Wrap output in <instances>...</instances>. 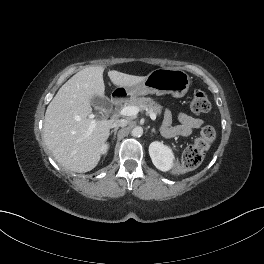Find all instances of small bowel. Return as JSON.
<instances>
[{"label":"small bowel","instance_id":"small-bowel-1","mask_svg":"<svg viewBox=\"0 0 264 264\" xmlns=\"http://www.w3.org/2000/svg\"><path fill=\"white\" fill-rule=\"evenodd\" d=\"M178 124L172 125V114L169 110L164 112L162 131L166 137L187 136L194 129L203 124V120L190 116L186 113H179L177 116Z\"/></svg>","mask_w":264,"mask_h":264}]
</instances>
